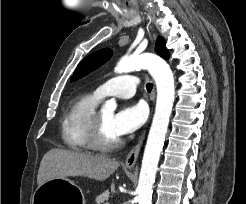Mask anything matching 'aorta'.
Returning a JSON list of instances; mask_svg holds the SVG:
<instances>
[{"mask_svg": "<svg viewBox=\"0 0 246 204\" xmlns=\"http://www.w3.org/2000/svg\"><path fill=\"white\" fill-rule=\"evenodd\" d=\"M136 68L147 69L157 87L155 114L144 150L137 187L138 204H151L153 184L174 102V77L167 62L151 53L122 57L117 63L115 71L117 73H128ZM116 108V102L108 100L102 106L101 113L103 115H113Z\"/></svg>", "mask_w": 246, "mask_h": 204, "instance_id": "1", "label": "aorta"}]
</instances>
